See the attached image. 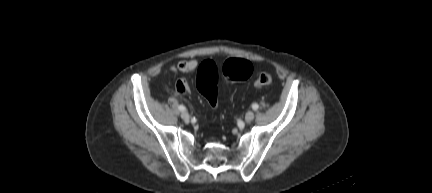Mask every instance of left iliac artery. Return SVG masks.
<instances>
[{
  "label": "left iliac artery",
  "mask_w": 432,
  "mask_h": 193,
  "mask_svg": "<svg viewBox=\"0 0 432 193\" xmlns=\"http://www.w3.org/2000/svg\"><path fill=\"white\" fill-rule=\"evenodd\" d=\"M259 108V105L257 104V103H254L253 105H252V109L253 110H257Z\"/></svg>",
  "instance_id": "left-iliac-artery-1"
}]
</instances>
